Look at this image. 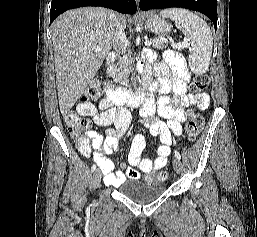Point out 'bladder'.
Wrapping results in <instances>:
<instances>
[{
	"instance_id": "obj_1",
	"label": "bladder",
	"mask_w": 257,
	"mask_h": 237,
	"mask_svg": "<svg viewBox=\"0 0 257 237\" xmlns=\"http://www.w3.org/2000/svg\"><path fill=\"white\" fill-rule=\"evenodd\" d=\"M164 191L163 184H150L134 180L127 184L123 194L137 204H148L160 197Z\"/></svg>"
}]
</instances>
